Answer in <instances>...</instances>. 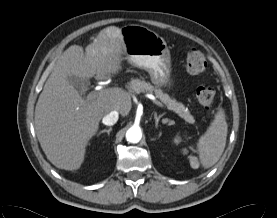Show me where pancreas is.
Masks as SVG:
<instances>
[{
  "label": "pancreas",
  "mask_w": 277,
  "mask_h": 218,
  "mask_svg": "<svg viewBox=\"0 0 277 218\" xmlns=\"http://www.w3.org/2000/svg\"><path fill=\"white\" fill-rule=\"evenodd\" d=\"M130 88L137 94L139 93H150L154 94L162 103H164L169 110L174 111L179 117L184 119L189 124H194L195 119L190 114L188 109L182 104L177 102L175 99L164 93L161 89L152 86L150 83L140 79H132L129 83Z\"/></svg>",
  "instance_id": "1"
}]
</instances>
